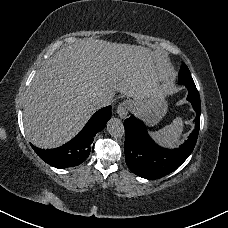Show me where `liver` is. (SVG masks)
<instances>
[{
	"mask_svg": "<svg viewBox=\"0 0 228 228\" xmlns=\"http://www.w3.org/2000/svg\"><path fill=\"white\" fill-rule=\"evenodd\" d=\"M168 66L163 53L134 45L83 39L55 52L30 83L24 99L26 135L35 146L70 140L92 115L89 94L117 92L132 99L165 97ZM153 101H149V104Z\"/></svg>",
	"mask_w": 228,
	"mask_h": 228,
	"instance_id": "liver-1",
	"label": "liver"
}]
</instances>
